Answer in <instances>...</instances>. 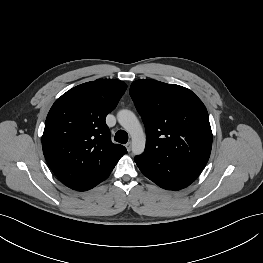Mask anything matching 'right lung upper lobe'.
I'll return each instance as SVG.
<instances>
[{
  "label": "right lung upper lobe",
  "instance_id": "1",
  "mask_svg": "<svg viewBox=\"0 0 263 263\" xmlns=\"http://www.w3.org/2000/svg\"><path fill=\"white\" fill-rule=\"evenodd\" d=\"M127 89L123 81L99 79L56 100L42 136L44 156L57 178L78 190L110 173L127 153L113 144L105 118Z\"/></svg>",
  "mask_w": 263,
  "mask_h": 263
}]
</instances>
